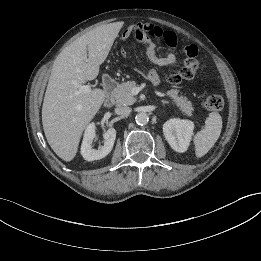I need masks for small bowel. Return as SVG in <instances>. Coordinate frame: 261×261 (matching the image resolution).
Returning <instances> with one entry per match:
<instances>
[{
	"label": "small bowel",
	"instance_id": "small-bowel-1",
	"mask_svg": "<svg viewBox=\"0 0 261 261\" xmlns=\"http://www.w3.org/2000/svg\"><path fill=\"white\" fill-rule=\"evenodd\" d=\"M135 32L131 34L135 39L145 47L148 60L156 66H171L178 63V58L173 52L177 47L176 35L168 30H164L157 25L145 23L138 24ZM130 36V37H131ZM155 39H162L170 48V51L164 55L157 54V45ZM185 59L182 61L181 68L176 72L167 74V79L171 83H179L182 80L192 79L198 72L199 66L197 61L198 50L195 46L189 45L183 48ZM149 80L157 85L160 77L155 70L148 73Z\"/></svg>",
	"mask_w": 261,
	"mask_h": 261
}]
</instances>
